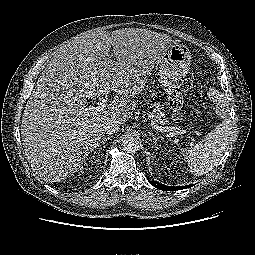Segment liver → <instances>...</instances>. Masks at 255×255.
<instances>
[{"label": "liver", "mask_w": 255, "mask_h": 255, "mask_svg": "<svg viewBox=\"0 0 255 255\" xmlns=\"http://www.w3.org/2000/svg\"><path fill=\"white\" fill-rule=\"evenodd\" d=\"M172 45L167 34L122 28L90 30L60 47L42 72L25 105L21 137L33 171L58 182L77 170L98 145L105 124H124L135 110L149 75ZM113 48L116 61L109 59ZM121 95L98 114L85 100Z\"/></svg>", "instance_id": "liver-1"}]
</instances>
